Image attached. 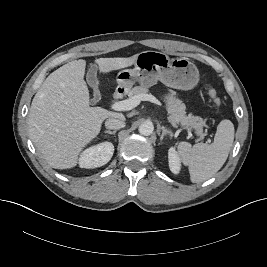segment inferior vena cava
<instances>
[{
  "label": "inferior vena cava",
  "instance_id": "obj_1",
  "mask_svg": "<svg viewBox=\"0 0 267 267\" xmlns=\"http://www.w3.org/2000/svg\"><path fill=\"white\" fill-rule=\"evenodd\" d=\"M105 127L113 130L121 129L125 127V121L121 118L111 117L105 121Z\"/></svg>",
  "mask_w": 267,
  "mask_h": 267
}]
</instances>
